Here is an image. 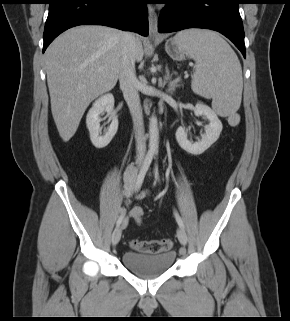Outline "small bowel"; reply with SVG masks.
<instances>
[{
	"label": "small bowel",
	"mask_w": 290,
	"mask_h": 321,
	"mask_svg": "<svg viewBox=\"0 0 290 321\" xmlns=\"http://www.w3.org/2000/svg\"><path fill=\"white\" fill-rule=\"evenodd\" d=\"M125 193H126V195L127 196H130L131 195V192H129V191H125ZM144 196H146V193L145 192H142L139 196H138V198H142V197H144Z\"/></svg>",
	"instance_id": "c3829d8e"
}]
</instances>
